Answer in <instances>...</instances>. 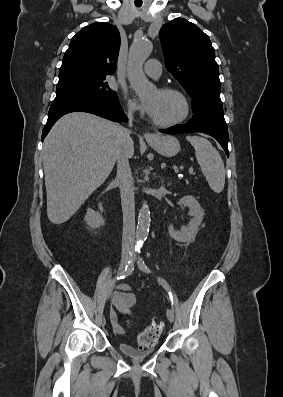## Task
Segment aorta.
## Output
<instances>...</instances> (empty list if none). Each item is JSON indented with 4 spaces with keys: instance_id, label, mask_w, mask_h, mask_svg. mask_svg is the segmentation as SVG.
Masks as SVG:
<instances>
[{
    "instance_id": "obj_1",
    "label": "aorta",
    "mask_w": 283,
    "mask_h": 397,
    "mask_svg": "<svg viewBox=\"0 0 283 397\" xmlns=\"http://www.w3.org/2000/svg\"><path fill=\"white\" fill-rule=\"evenodd\" d=\"M152 51V45L148 41L134 42L129 51L128 79L132 89L140 98H145L155 90L143 73V64ZM150 210L146 201L143 202L139 211L136 230V244L140 247L147 238L150 227Z\"/></svg>"
}]
</instances>
